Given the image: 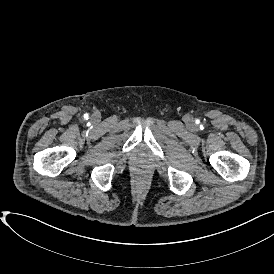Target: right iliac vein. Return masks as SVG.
I'll list each match as a JSON object with an SVG mask.
<instances>
[{
    "mask_svg": "<svg viewBox=\"0 0 274 274\" xmlns=\"http://www.w3.org/2000/svg\"><path fill=\"white\" fill-rule=\"evenodd\" d=\"M99 119H100V115H99L98 113L93 114L92 120H93L94 122H98Z\"/></svg>",
    "mask_w": 274,
    "mask_h": 274,
    "instance_id": "63e3f726",
    "label": "right iliac vein"
}]
</instances>
